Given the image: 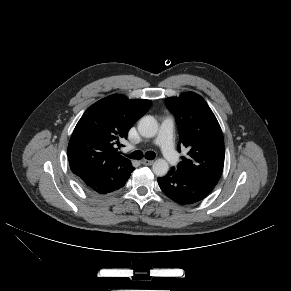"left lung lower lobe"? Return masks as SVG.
<instances>
[{"instance_id":"0a47b994","label":"left lung lower lobe","mask_w":291,"mask_h":291,"mask_svg":"<svg viewBox=\"0 0 291 291\" xmlns=\"http://www.w3.org/2000/svg\"><path fill=\"white\" fill-rule=\"evenodd\" d=\"M158 184L168 198L181 205L204 199L215 186L190 174L175 171L174 168L158 178Z\"/></svg>"}]
</instances>
